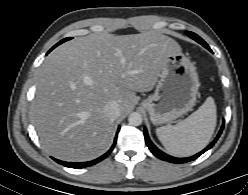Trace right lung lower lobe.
<instances>
[{
  "label": "right lung lower lobe",
  "mask_w": 248,
  "mask_h": 195,
  "mask_svg": "<svg viewBox=\"0 0 248 195\" xmlns=\"http://www.w3.org/2000/svg\"><path fill=\"white\" fill-rule=\"evenodd\" d=\"M120 128H118V131H119ZM116 138H117V134H116ZM116 138L114 140V143L112 145V147L110 148V150L105 153L104 155L100 156L99 158L95 159V160H92V161H88V162H81V163H74V162H65V161H61V160H58V159H54L57 163L59 164H62L66 167H69V168H84V167H89V166H92L100 161H102L103 159H105L110 153L111 151L113 150L115 144H116Z\"/></svg>",
  "instance_id": "1"
}]
</instances>
